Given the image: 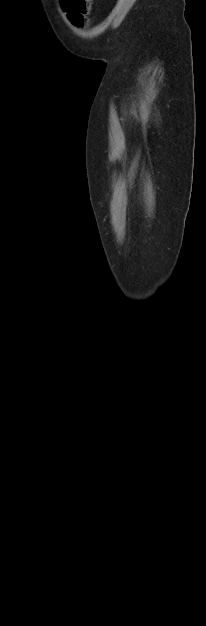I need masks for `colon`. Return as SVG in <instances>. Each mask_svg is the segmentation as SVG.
Segmentation results:
<instances>
[{
	"label": "colon",
	"mask_w": 206,
	"mask_h": 626,
	"mask_svg": "<svg viewBox=\"0 0 206 626\" xmlns=\"http://www.w3.org/2000/svg\"><path fill=\"white\" fill-rule=\"evenodd\" d=\"M92 0H60L71 22L79 27L87 24Z\"/></svg>",
	"instance_id": "colon-1"
}]
</instances>
